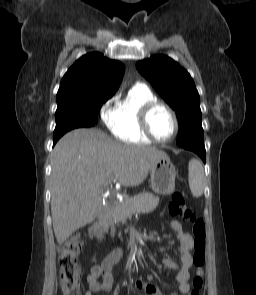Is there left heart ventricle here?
Here are the masks:
<instances>
[{"label":"left heart ventricle","mask_w":256,"mask_h":295,"mask_svg":"<svg viewBox=\"0 0 256 295\" xmlns=\"http://www.w3.org/2000/svg\"><path fill=\"white\" fill-rule=\"evenodd\" d=\"M150 126L154 135L161 140L168 139L174 131L173 119L164 108H157L152 112Z\"/></svg>","instance_id":"obj_1"}]
</instances>
